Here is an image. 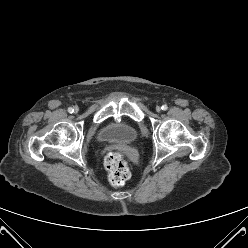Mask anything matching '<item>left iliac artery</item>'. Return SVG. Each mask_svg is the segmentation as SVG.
Segmentation results:
<instances>
[{
	"mask_svg": "<svg viewBox=\"0 0 248 248\" xmlns=\"http://www.w3.org/2000/svg\"><path fill=\"white\" fill-rule=\"evenodd\" d=\"M161 108H162V110H164V111H165V110H167V109H168V106H167L166 104H164V105H162V107H161Z\"/></svg>",
	"mask_w": 248,
	"mask_h": 248,
	"instance_id": "1",
	"label": "left iliac artery"
}]
</instances>
